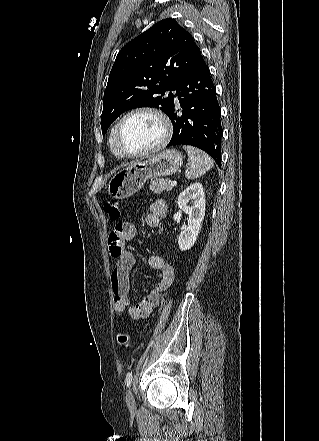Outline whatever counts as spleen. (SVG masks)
Segmentation results:
<instances>
[{
	"instance_id": "spleen-1",
	"label": "spleen",
	"mask_w": 319,
	"mask_h": 441,
	"mask_svg": "<svg viewBox=\"0 0 319 441\" xmlns=\"http://www.w3.org/2000/svg\"><path fill=\"white\" fill-rule=\"evenodd\" d=\"M183 149L187 151L190 161V166L185 171L187 179H196L212 168L213 160L204 151L186 145L183 146Z\"/></svg>"
}]
</instances>
